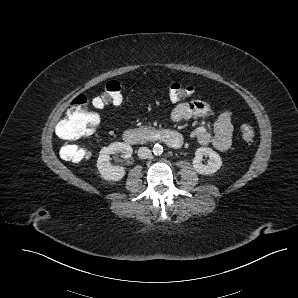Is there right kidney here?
<instances>
[{
    "label": "right kidney",
    "mask_w": 298,
    "mask_h": 298,
    "mask_svg": "<svg viewBox=\"0 0 298 298\" xmlns=\"http://www.w3.org/2000/svg\"><path fill=\"white\" fill-rule=\"evenodd\" d=\"M120 153L121 158L128 159L132 156L133 149L128 143L112 142L108 146L103 147L97 159V168L101 175L108 180H119L124 174L123 166H115L110 163L111 155Z\"/></svg>",
    "instance_id": "ca27d5eb"
}]
</instances>
